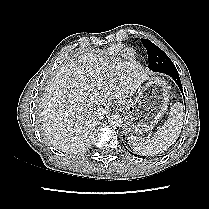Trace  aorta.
<instances>
[{
  "label": "aorta",
  "mask_w": 209,
  "mask_h": 209,
  "mask_svg": "<svg viewBox=\"0 0 209 209\" xmlns=\"http://www.w3.org/2000/svg\"><path fill=\"white\" fill-rule=\"evenodd\" d=\"M123 123V118L119 114H112L108 117V124L113 127H120Z\"/></svg>",
  "instance_id": "762f6f07"
}]
</instances>
